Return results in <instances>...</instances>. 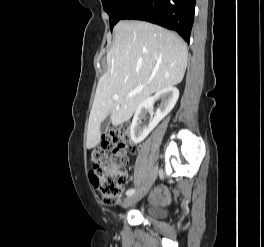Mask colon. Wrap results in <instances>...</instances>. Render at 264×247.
Masks as SVG:
<instances>
[{
  "mask_svg": "<svg viewBox=\"0 0 264 247\" xmlns=\"http://www.w3.org/2000/svg\"><path fill=\"white\" fill-rule=\"evenodd\" d=\"M135 150L128 128L121 126L107 131L101 146L92 151L91 182L109 205L121 200L122 188L128 181L127 153Z\"/></svg>",
  "mask_w": 264,
  "mask_h": 247,
  "instance_id": "obj_1",
  "label": "colon"
}]
</instances>
